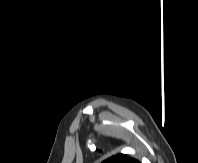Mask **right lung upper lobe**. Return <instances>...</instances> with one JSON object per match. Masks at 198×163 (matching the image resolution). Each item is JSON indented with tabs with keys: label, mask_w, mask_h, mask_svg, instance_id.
<instances>
[{
	"label": "right lung upper lobe",
	"mask_w": 198,
	"mask_h": 163,
	"mask_svg": "<svg viewBox=\"0 0 198 163\" xmlns=\"http://www.w3.org/2000/svg\"><path fill=\"white\" fill-rule=\"evenodd\" d=\"M102 163H140L138 160L131 158L124 154H118L117 156H112Z\"/></svg>",
	"instance_id": "cb5924a9"
}]
</instances>
